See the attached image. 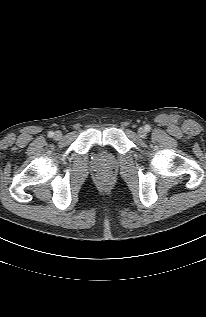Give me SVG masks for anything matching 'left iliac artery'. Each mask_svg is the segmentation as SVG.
Here are the masks:
<instances>
[{
  "instance_id": "1",
  "label": "left iliac artery",
  "mask_w": 206,
  "mask_h": 317,
  "mask_svg": "<svg viewBox=\"0 0 206 317\" xmlns=\"http://www.w3.org/2000/svg\"><path fill=\"white\" fill-rule=\"evenodd\" d=\"M146 131H150L151 127L149 125L145 126Z\"/></svg>"
}]
</instances>
